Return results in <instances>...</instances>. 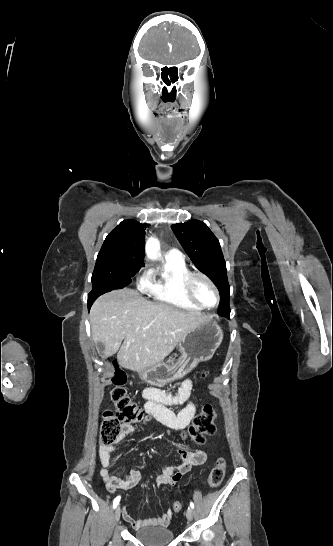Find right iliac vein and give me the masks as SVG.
Wrapping results in <instances>:
<instances>
[{
	"mask_svg": "<svg viewBox=\"0 0 333 546\" xmlns=\"http://www.w3.org/2000/svg\"><path fill=\"white\" fill-rule=\"evenodd\" d=\"M120 515H121V508L120 506H118L115 510V513H114V521L117 523L120 519Z\"/></svg>",
	"mask_w": 333,
	"mask_h": 546,
	"instance_id": "1",
	"label": "right iliac vein"
}]
</instances>
